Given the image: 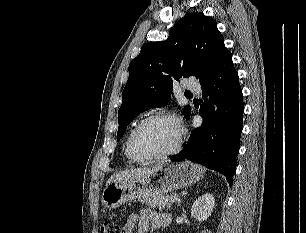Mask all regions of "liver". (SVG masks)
<instances>
[{
	"mask_svg": "<svg viewBox=\"0 0 306 233\" xmlns=\"http://www.w3.org/2000/svg\"><path fill=\"white\" fill-rule=\"evenodd\" d=\"M163 166H164V162H161V163L156 164L153 167L137 168V169L125 170V171L118 172V173L112 175L108 179V181L106 183V186L108 184L113 183V182L129 179V178H134V177H138L142 174L154 172L156 170H159V169L163 168Z\"/></svg>",
	"mask_w": 306,
	"mask_h": 233,
	"instance_id": "6515ba94",
	"label": "liver"
}]
</instances>
